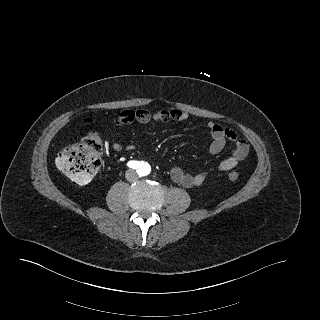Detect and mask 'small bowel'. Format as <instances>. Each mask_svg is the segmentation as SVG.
<instances>
[{
	"mask_svg": "<svg viewBox=\"0 0 320 320\" xmlns=\"http://www.w3.org/2000/svg\"><path fill=\"white\" fill-rule=\"evenodd\" d=\"M189 118L187 112L177 108H164L151 113L146 109H127L121 111L115 119V125H128L133 122L147 124L151 121H178L185 122ZM207 127L211 135V144L209 152L212 155L219 154L229 143L233 146L232 155L221 161L217 167L218 171L227 172L244 160L248 154V144L241 139L233 130L226 128L214 122H208ZM113 150L120 152L122 150L132 151L133 146L123 147L119 142L112 141ZM170 177L177 184L192 188L203 184L209 177V172L189 173L179 166H173L170 170Z\"/></svg>",
	"mask_w": 320,
	"mask_h": 320,
	"instance_id": "1",
	"label": "small bowel"
}]
</instances>
